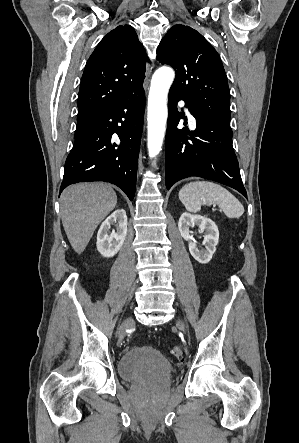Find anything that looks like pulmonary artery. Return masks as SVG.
I'll return each mask as SVG.
<instances>
[{"label": "pulmonary artery", "instance_id": "obj_1", "mask_svg": "<svg viewBox=\"0 0 299 443\" xmlns=\"http://www.w3.org/2000/svg\"><path fill=\"white\" fill-rule=\"evenodd\" d=\"M187 116H188V121H189L190 125H194V124H195V122H196V120H195L194 116H193V115H191V114H190V113H188V112H187Z\"/></svg>", "mask_w": 299, "mask_h": 443}]
</instances>
